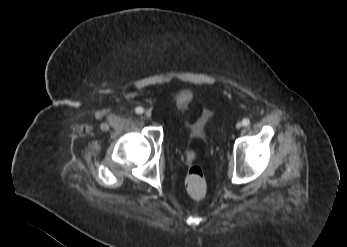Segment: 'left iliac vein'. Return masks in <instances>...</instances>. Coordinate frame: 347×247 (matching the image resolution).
Masks as SVG:
<instances>
[{
  "mask_svg": "<svg viewBox=\"0 0 347 247\" xmlns=\"http://www.w3.org/2000/svg\"><path fill=\"white\" fill-rule=\"evenodd\" d=\"M242 125H243V124H242L241 122H238V123L236 124V128H237V129H240V128L242 127Z\"/></svg>",
  "mask_w": 347,
  "mask_h": 247,
  "instance_id": "1",
  "label": "left iliac vein"
}]
</instances>
